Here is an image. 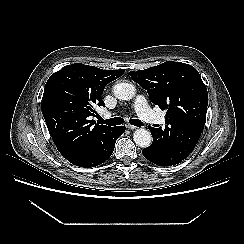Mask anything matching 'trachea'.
<instances>
[{
  "label": "trachea",
  "instance_id": "1",
  "mask_svg": "<svg viewBox=\"0 0 244 244\" xmlns=\"http://www.w3.org/2000/svg\"><path fill=\"white\" fill-rule=\"evenodd\" d=\"M99 121L100 123L106 124L108 126H115V125L122 124L124 122V119L121 117H115V118H110L108 120H104L103 118L99 117ZM129 123L137 127L143 126V123L138 119H130Z\"/></svg>",
  "mask_w": 244,
  "mask_h": 244
}]
</instances>
